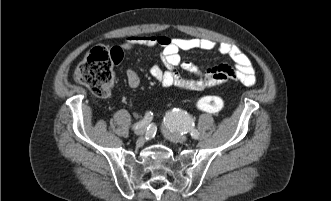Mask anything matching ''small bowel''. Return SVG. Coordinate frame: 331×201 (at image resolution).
<instances>
[{"instance_id":"obj_1","label":"small bowel","mask_w":331,"mask_h":201,"mask_svg":"<svg viewBox=\"0 0 331 201\" xmlns=\"http://www.w3.org/2000/svg\"><path fill=\"white\" fill-rule=\"evenodd\" d=\"M138 46L162 48V60L165 68L156 64L152 65L150 74L164 87L177 86L186 90L199 91L230 80L238 81L246 86H252L256 82L255 70L250 58L233 44L216 43L209 39L199 38H170L164 35H133L122 43L125 51ZM214 49L229 56L234 62V67L219 64L202 69L192 62L184 60L181 56V52L185 51ZM179 68L195 75V78L183 77L178 71ZM126 76L131 89L139 87L140 77L135 70L128 69Z\"/></svg>"}]
</instances>
